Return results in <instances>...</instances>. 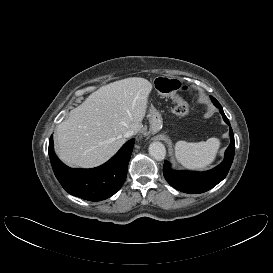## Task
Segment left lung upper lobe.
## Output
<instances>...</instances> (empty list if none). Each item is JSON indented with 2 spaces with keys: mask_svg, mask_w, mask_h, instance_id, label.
Listing matches in <instances>:
<instances>
[{
  "mask_svg": "<svg viewBox=\"0 0 273 273\" xmlns=\"http://www.w3.org/2000/svg\"><path fill=\"white\" fill-rule=\"evenodd\" d=\"M211 99H212V102L214 103V105L219 103L215 98L211 97Z\"/></svg>",
  "mask_w": 273,
  "mask_h": 273,
  "instance_id": "1",
  "label": "left lung upper lobe"
}]
</instances>
